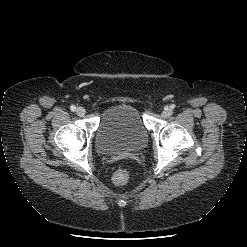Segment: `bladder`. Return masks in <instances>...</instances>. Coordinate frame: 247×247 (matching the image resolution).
Listing matches in <instances>:
<instances>
[{"mask_svg": "<svg viewBox=\"0 0 247 247\" xmlns=\"http://www.w3.org/2000/svg\"><path fill=\"white\" fill-rule=\"evenodd\" d=\"M148 140V130L141 111L130 103L109 107L101 116L95 134L99 153L115 154L142 149Z\"/></svg>", "mask_w": 247, "mask_h": 247, "instance_id": "1", "label": "bladder"}]
</instances>
